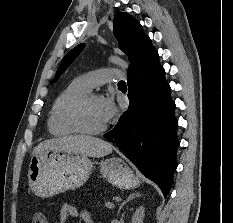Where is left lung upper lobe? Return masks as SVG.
I'll return each mask as SVG.
<instances>
[{"label": "left lung upper lobe", "instance_id": "left-lung-upper-lobe-1", "mask_svg": "<svg viewBox=\"0 0 233 223\" xmlns=\"http://www.w3.org/2000/svg\"><path fill=\"white\" fill-rule=\"evenodd\" d=\"M113 28L120 49L128 55L131 62L130 70L137 63L144 50L151 44V40L145 35L140 23L128 13L117 14L113 20ZM83 48L84 44H80L64 57L57 70L55 80L67 69Z\"/></svg>", "mask_w": 233, "mask_h": 223}]
</instances>
